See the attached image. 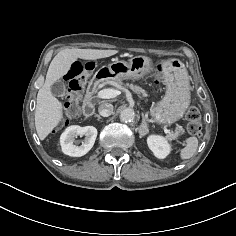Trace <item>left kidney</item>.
I'll use <instances>...</instances> for the list:
<instances>
[{
    "instance_id": "obj_1",
    "label": "left kidney",
    "mask_w": 236,
    "mask_h": 236,
    "mask_svg": "<svg viewBox=\"0 0 236 236\" xmlns=\"http://www.w3.org/2000/svg\"><path fill=\"white\" fill-rule=\"evenodd\" d=\"M147 144L154 155L159 158H165L170 152V145L165 138L157 135H150L147 138Z\"/></svg>"
}]
</instances>
